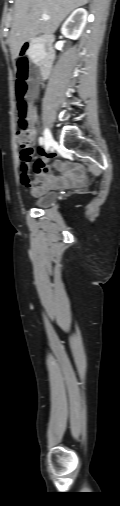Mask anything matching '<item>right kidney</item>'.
Wrapping results in <instances>:
<instances>
[{
	"label": "right kidney",
	"mask_w": 120,
	"mask_h": 506,
	"mask_svg": "<svg viewBox=\"0 0 120 506\" xmlns=\"http://www.w3.org/2000/svg\"><path fill=\"white\" fill-rule=\"evenodd\" d=\"M88 13L83 8H78L71 13L62 26V34L70 39H78L86 25Z\"/></svg>",
	"instance_id": "obj_1"
}]
</instances>
